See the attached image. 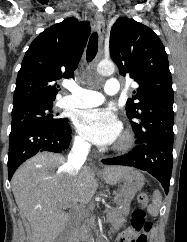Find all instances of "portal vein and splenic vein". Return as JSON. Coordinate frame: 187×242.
Returning a JSON list of instances; mask_svg holds the SVG:
<instances>
[{"instance_id":"1","label":"portal vein and splenic vein","mask_w":187,"mask_h":242,"mask_svg":"<svg viewBox=\"0 0 187 242\" xmlns=\"http://www.w3.org/2000/svg\"><path fill=\"white\" fill-rule=\"evenodd\" d=\"M75 208L78 209V207H75ZM107 211H108V209H105V210H104V213H106Z\"/></svg>"}]
</instances>
